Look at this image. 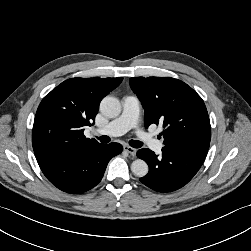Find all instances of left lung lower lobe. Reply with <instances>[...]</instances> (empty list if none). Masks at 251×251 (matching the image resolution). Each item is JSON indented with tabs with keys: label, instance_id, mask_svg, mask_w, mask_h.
I'll return each mask as SVG.
<instances>
[{
	"label": "left lung lower lobe",
	"instance_id": "1",
	"mask_svg": "<svg viewBox=\"0 0 251 251\" xmlns=\"http://www.w3.org/2000/svg\"><path fill=\"white\" fill-rule=\"evenodd\" d=\"M137 156L149 166V173L140 181L158 192H171L186 185L206 157L194 151L170 147H163L160 157L147 148L138 150Z\"/></svg>",
	"mask_w": 251,
	"mask_h": 251
}]
</instances>
